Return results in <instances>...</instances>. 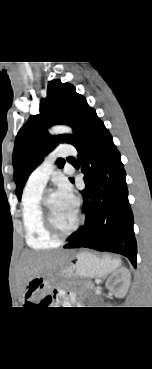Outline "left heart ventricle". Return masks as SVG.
Listing matches in <instances>:
<instances>
[{
    "label": "left heart ventricle",
    "instance_id": "obj_1",
    "mask_svg": "<svg viewBox=\"0 0 152 369\" xmlns=\"http://www.w3.org/2000/svg\"><path fill=\"white\" fill-rule=\"evenodd\" d=\"M49 206L59 229L68 230L74 224L76 210L65 205L56 193L49 194Z\"/></svg>",
    "mask_w": 152,
    "mask_h": 369
}]
</instances>
